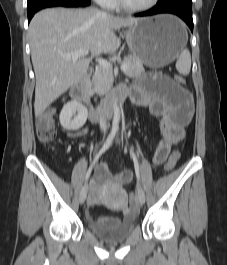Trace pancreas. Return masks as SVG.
<instances>
[{
	"label": "pancreas",
	"instance_id": "obj_1",
	"mask_svg": "<svg viewBox=\"0 0 227 265\" xmlns=\"http://www.w3.org/2000/svg\"><path fill=\"white\" fill-rule=\"evenodd\" d=\"M122 64H126L128 69L124 72L128 77H136L144 72L141 61L134 56L124 58ZM113 85V73L110 68H98L89 88L93 93L105 95Z\"/></svg>",
	"mask_w": 227,
	"mask_h": 265
}]
</instances>
